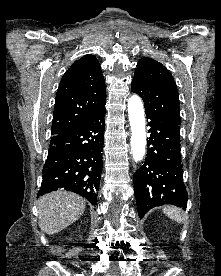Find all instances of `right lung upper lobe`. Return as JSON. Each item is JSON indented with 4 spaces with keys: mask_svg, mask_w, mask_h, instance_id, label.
Returning a JSON list of instances; mask_svg holds the SVG:
<instances>
[{
    "mask_svg": "<svg viewBox=\"0 0 221 276\" xmlns=\"http://www.w3.org/2000/svg\"><path fill=\"white\" fill-rule=\"evenodd\" d=\"M106 104V87L95 56L75 61L62 77L55 99L51 134L70 131Z\"/></svg>",
    "mask_w": 221,
    "mask_h": 276,
    "instance_id": "right-lung-upper-lobe-1",
    "label": "right lung upper lobe"
}]
</instances>
